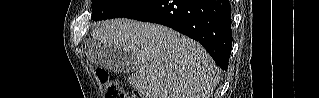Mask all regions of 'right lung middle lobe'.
Wrapping results in <instances>:
<instances>
[{"mask_svg":"<svg viewBox=\"0 0 319 98\" xmlns=\"http://www.w3.org/2000/svg\"><path fill=\"white\" fill-rule=\"evenodd\" d=\"M146 0H92L94 21L117 18L136 8Z\"/></svg>","mask_w":319,"mask_h":98,"instance_id":"1","label":"right lung middle lobe"}]
</instances>
